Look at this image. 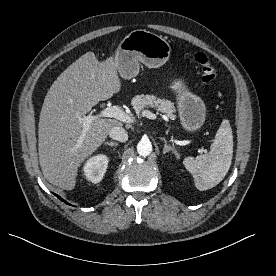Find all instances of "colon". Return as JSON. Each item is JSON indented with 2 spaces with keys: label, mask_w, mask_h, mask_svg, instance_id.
<instances>
[{
  "label": "colon",
  "mask_w": 276,
  "mask_h": 276,
  "mask_svg": "<svg viewBox=\"0 0 276 276\" xmlns=\"http://www.w3.org/2000/svg\"><path fill=\"white\" fill-rule=\"evenodd\" d=\"M197 64L202 68V82L205 88H211L216 81L217 73L209 58L202 52H197L194 55Z\"/></svg>",
  "instance_id": "1"
}]
</instances>
